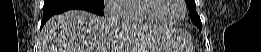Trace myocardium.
Segmentation results:
<instances>
[{"label": "myocardium", "mask_w": 261, "mask_h": 52, "mask_svg": "<svg viewBox=\"0 0 261 52\" xmlns=\"http://www.w3.org/2000/svg\"><path fill=\"white\" fill-rule=\"evenodd\" d=\"M178 3L182 8V14H181L180 18L175 21H169L162 17V11H164L167 8V4L164 0H153V2L151 4V8L155 11L156 15L159 17V19L161 20L162 23L169 24V25H175V24L180 23L184 19L185 15H186V11H187L185 0H178Z\"/></svg>", "instance_id": "myocardium-1"}]
</instances>
